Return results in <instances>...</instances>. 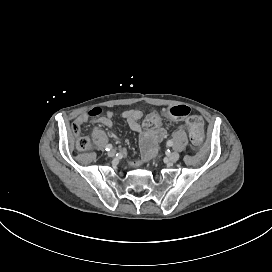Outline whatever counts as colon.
Returning <instances> with one entry per match:
<instances>
[{"label":"colon","instance_id":"1","mask_svg":"<svg viewBox=\"0 0 272 272\" xmlns=\"http://www.w3.org/2000/svg\"><path fill=\"white\" fill-rule=\"evenodd\" d=\"M104 107L102 106H96L89 110L88 117L90 118H96L104 114ZM165 113L176 119L180 118H186L189 115V107L187 105L178 104L174 106H165L164 107ZM155 114V113H154ZM81 122H76L73 125L74 131L80 130ZM187 127L189 129L190 139L193 144H199L202 141V120L199 117H192L187 124ZM89 144V138L86 135H82L77 145L79 148L83 149L87 147Z\"/></svg>","mask_w":272,"mask_h":272}]
</instances>
